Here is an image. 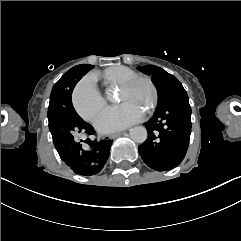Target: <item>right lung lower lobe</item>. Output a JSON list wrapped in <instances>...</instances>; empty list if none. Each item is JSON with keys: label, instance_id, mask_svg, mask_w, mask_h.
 <instances>
[{"label": "right lung lower lobe", "instance_id": "obj_1", "mask_svg": "<svg viewBox=\"0 0 241 241\" xmlns=\"http://www.w3.org/2000/svg\"><path fill=\"white\" fill-rule=\"evenodd\" d=\"M92 68L93 66L89 64L79 65L72 77L71 87L74 89L77 82ZM81 132L93 134V127L82 119L71 123L69 126H64L56 136L54 145L61 160L76 174L84 176L95 175L106 164L112 141L102 140L96 142L87 139L85 142H87L89 148L84 149L74 136Z\"/></svg>", "mask_w": 241, "mask_h": 241}]
</instances>
